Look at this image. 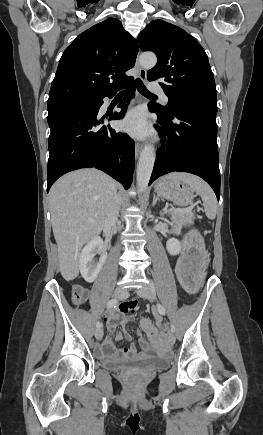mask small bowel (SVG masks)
I'll return each instance as SVG.
<instances>
[{
    "mask_svg": "<svg viewBox=\"0 0 263 435\" xmlns=\"http://www.w3.org/2000/svg\"><path fill=\"white\" fill-rule=\"evenodd\" d=\"M180 260H185V257H181L178 260L176 265V272L179 269L178 264ZM136 309H137L136 303L132 302V303L124 304L116 311L110 312L105 317L109 331L113 332L118 326H123L127 324L129 321H132L134 319V312ZM155 318L159 329H157L152 324L151 320L148 318H144L141 321L143 330L148 334L149 339H151V341L147 342V340L141 335L140 332L137 333L138 343L141 348V352L137 350L135 344H131L129 347H125V348H118L113 343L111 338L108 336L95 346L96 355L100 359L106 361L116 360V359H123V360L138 359L147 354L158 355L162 348V343L160 340L162 339L163 342L164 335L162 332L161 317L159 315H155ZM123 337H125L127 340L131 339V336L129 334H123L120 332L117 334L116 340L120 341Z\"/></svg>",
    "mask_w": 263,
    "mask_h": 435,
    "instance_id": "1",
    "label": "small bowel"
}]
</instances>
